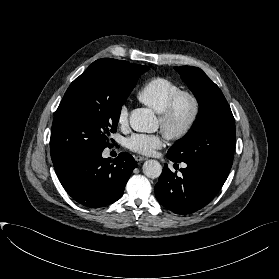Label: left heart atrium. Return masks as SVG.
Returning <instances> with one entry per match:
<instances>
[{
	"label": "left heart atrium",
	"instance_id": "39dd6f15",
	"mask_svg": "<svg viewBox=\"0 0 279 279\" xmlns=\"http://www.w3.org/2000/svg\"><path fill=\"white\" fill-rule=\"evenodd\" d=\"M163 143V137L159 134L136 133L127 139L126 146L133 152L152 155Z\"/></svg>",
	"mask_w": 279,
	"mask_h": 279
}]
</instances>
